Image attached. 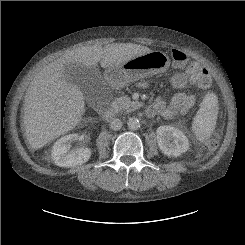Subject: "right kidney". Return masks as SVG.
<instances>
[{"mask_svg": "<svg viewBox=\"0 0 245 245\" xmlns=\"http://www.w3.org/2000/svg\"><path fill=\"white\" fill-rule=\"evenodd\" d=\"M77 134H69L55 142L51 150V158L60 167H74L83 164L91 157V150L86 147L73 148L71 144L78 140Z\"/></svg>", "mask_w": 245, "mask_h": 245, "instance_id": "right-kidney-1", "label": "right kidney"}]
</instances>
